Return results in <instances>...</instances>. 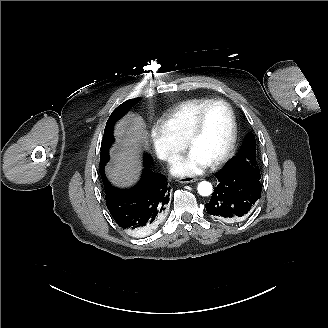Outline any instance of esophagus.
Returning a JSON list of instances; mask_svg holds the SVG:
<instances>
[{"instance_id":"esophagus-1","label":"esophagus","mask_w":328,"mask_h":328,"mask_svg":"<svg viewBox=\"0 0 328 328\" xmlns=\"http://www.w3.org/2000/svg\"><path fill=\"white\" fill-rule=\"evenodd\" d=\"M198 179L195 178V177H181L179 179H177L176 181L178 183H193V182H196Z\"/></svg>"}]
</instances>
